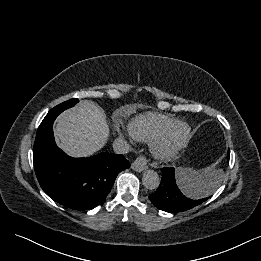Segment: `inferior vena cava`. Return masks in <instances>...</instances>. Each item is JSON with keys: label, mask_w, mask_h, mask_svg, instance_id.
<instances>
[{"label": "inferior vena cava", "mask_w": 261, "mask_h": 261, "mask_svg": "<svg viewBox=\"0 0 261 261\" xmlns=\"http://www.w3.org/2000/svg\"><path fill=\"white\" fill-rule=\"evenodd\" d=\"M113 150L117 154H127L130 151V146L125 139L117 138L113 142Z\"/></svg>", "instance_id": "obj_1"}]
</instances>
